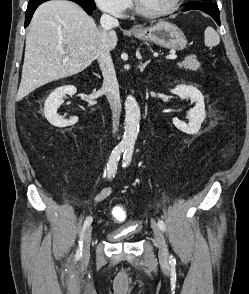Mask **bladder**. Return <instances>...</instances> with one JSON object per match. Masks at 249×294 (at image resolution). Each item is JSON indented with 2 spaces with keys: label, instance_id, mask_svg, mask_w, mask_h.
<instances>
[{
  "label": "bladder",
  "instance_id": "obj_1",
  "mask_svg": "<svg viewBox=\"0 0 249 294\" xmlns=\"http://www.w3.org/2000/svg\"><path fill=\"white\" fill-rule=\"evenodd\" d=\"M142 233L141 229L129 231L126 228H121L114 232H110L106 235V239L111 243L128 241L134 239L136 236Z\"/></svg>",
  "mask_w": 249,
  "mask_h": 294
}]
</instances>
